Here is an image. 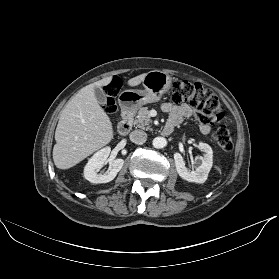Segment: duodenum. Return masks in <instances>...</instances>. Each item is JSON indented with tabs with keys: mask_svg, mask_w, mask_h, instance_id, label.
<instances>
[{
	"mask_svg": "<svg viewBox=\"0 0 279 279\" xmlns=\"http://www.w3.org/2000/svg\"><path fill=\"white\" fill-rule=\"evenodd\" d=\"M132 119H133V113L130 109H126L123 112L122 119L119 122L118 125V132L120 135L125 136L129 133L132 127ZM173 131V128L171 126L165 125L162 133L163 135H170Z\"/></svg>",
	"mask_w": 279,
	"mask_h": 279,
	"instance_id": "410a0bca",
	"label": "duodenum"
}]
</instances>
